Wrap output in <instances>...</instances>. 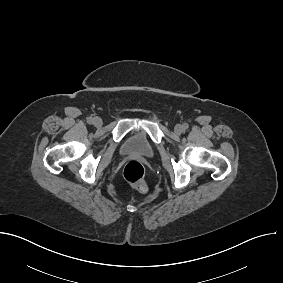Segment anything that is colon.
Listing matches in <instances>:
<instances>
[{"label": "colon", "instance_id": "5ec220e1", "mask_svg": "<svg viewBox=\"0 0 283 283\" xmlns=\"http://www.w3.org/2000/svg\"><path fill=\"white\" fill-rule=\"evenodd\" d=\"M124 178L132 184L139 192L145 193L147 185L144 180L145 170L143 165L138 161L128 162L123 170Z\"/></svg>", "mask_w": 283, "mask_h": 283}]
</instances>
